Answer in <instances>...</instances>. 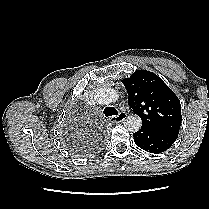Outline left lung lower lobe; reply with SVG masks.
Instances as JSON below:
<instances>
[{
    "label": "left lung lower lobe",
    "mask_w": 209,
    "mask_h": 209,
    "mask_svg": "<svg viewBox=\"0 0 209 209\" xmlns=\"http://www.w3.org/2000/svg\"><path fill=\"white\" fill-rule=\"evenodd\" d=\"M133 137L138 147L156 154L166 151L177 139L174 135L159 133L143 126Z\"/></svg>",
    "instance_id": "0a47b994"
}]
</instances>
